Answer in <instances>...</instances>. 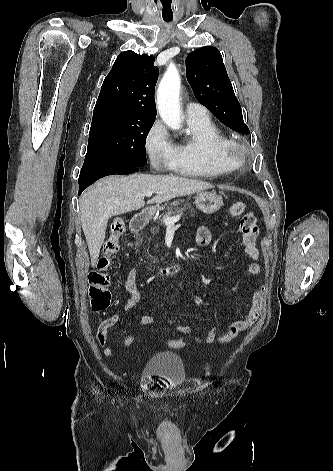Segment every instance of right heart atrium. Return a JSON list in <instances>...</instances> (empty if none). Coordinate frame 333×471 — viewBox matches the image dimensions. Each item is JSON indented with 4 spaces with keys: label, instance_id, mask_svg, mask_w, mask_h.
I'll list each match as a JSON object with an SVG mask.
<instances>
[{
    "label": "right heart atrium",
    "instance_id": "right-heart-atrium-1",
    "mask_svg": "<svg viewBox=\"0 0 333 471\" xmlns=\"http://www.w3.org/2000/svg\"><path fill=\"white\" fill-rule=\"evenodd\" d=\"M144 147L153 167L160 169L170 164L174 144L160 120H156L146 133Z\"/></svg>",
    "mask_w": 333,
    "mask_h": 471
}]
</instances>
